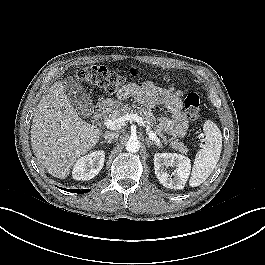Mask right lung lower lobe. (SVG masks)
<instances>
[{"label":"right lung lower lobe","instance_id":"1","mask_svg":"<svg viewBox=\"0 0 265 265\" xmlns=\"http://www.w3.org/2000/svg\"><path fill=\"white\" fill-rule=\"evenodd\" d=\"M65 191L67 190L68 192H74V193H86L89 192L90 189H82V190H78V189H64Z\"/></svg>","mask_w":265,"mask_h":265}]
</instances>
